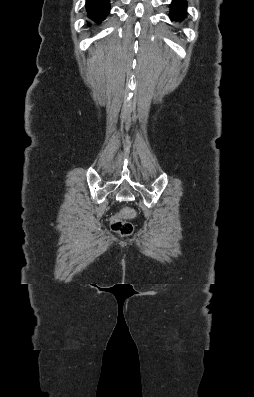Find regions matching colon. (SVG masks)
Segmentation results:
<instances>
[{"label":"colon","instance_id":"colon-1","mask_svg":"<svg viewBox=\"0 0 254 397\" xmlns=\"http://www.w3.org/2000/svg\"><path fill=\"white\" fill-rule=\"evenodd\" d=\"M134 216V209L130 207L121 208L111 218V229L123 237L130 236L133 233V225L129 220L132 219Z\"/></svg>","mask_w":254,"mask_h":397}]
</instances>
